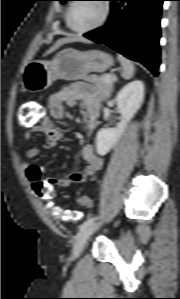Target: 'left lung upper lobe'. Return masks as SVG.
<instances>
[{
    "label": "left lung upper lobe",
    "instance_id": "1",
    "mask_svg": "<svg viewBox=\"0 0 180 299\" xmlns=\"http://www.w3.org/2000/svg\"><path fill=\"white\" fill-rule=\"evenodd\" d=\"M59 1L65 2V1H68V0H59Z\"/></svg>",
    "mask_w": 180,
    "mask_h": 299
}]
</instances>
